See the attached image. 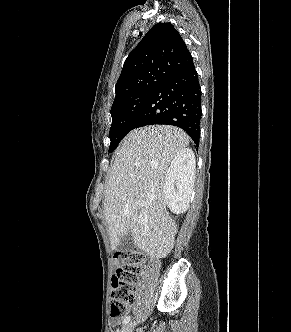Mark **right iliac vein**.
I'll list each match as a JSON object with an SVG mask.
<instances>
[{"mask_svg":"<svg viewBox=\"0 0 291 332\" xmlns=\"http://www.w3.org/2000/svg\"><path fill=\"white\" fill-rule=\"evenodd\" d=\"M134 327L133 323L126 324L122 329L121 332H132V329Z\"/></svg>","mask_w":291,"mask_h":332,"instance_id":"obj_1","label":"right iliac vein"}]
</instances>
